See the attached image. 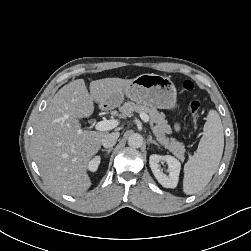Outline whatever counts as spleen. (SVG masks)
<instances>
[{
  "label": "spleen",
  "mask_w": 251,
  "mask_h": 251,
  "mask_svg": "<svg viewBox=\"0 0 251 251\" xmlns=\"http://www.w3.org/2000/svg\"><path fill=\"white\" fill-rule=\"evenodd\" d=\"M196 153L185 165L183 191L187 195L200 192L212 179L223 154L224 133L217 111H208Z\"/></svg>",
  "instance_id": "1"
}]
</instances>
